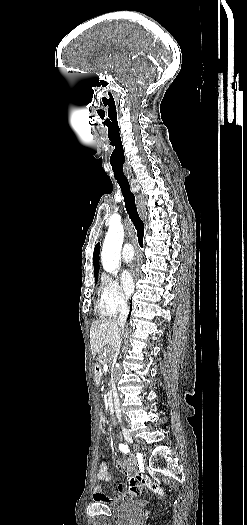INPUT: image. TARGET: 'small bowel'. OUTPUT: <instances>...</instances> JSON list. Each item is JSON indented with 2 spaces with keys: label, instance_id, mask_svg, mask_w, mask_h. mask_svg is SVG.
<instances>
[{
  "label": "small bowel",
  "instance_id": "1",
  "mask_svg": "<svg viewBox=\"0 0 247 525\" xmlns=\"http://www.w3.org/2000/svg\"><path fill=\"white\" fill-rule=\"evenodd\" d=\"M105 428H103L104 430ZM115 466H119V463H115ZM120 473L122 475H126L128 473V470L126 468H122L120 470ZM112 479V474L109 469V464L107 461L103 460L99 464L98 472L96 474V482L97 487L95 489V495L94 498L96 501H99L101 504H105L107 506H115L118 503V499H124L126 498V495L123 494L127 490L129 491V494L131 497L136 498L139 496L140 491L139 487L141 485V480L147 481L149 479V476L147 474H144L143 476L141 474H130L128 476V480L123 479L119 482V485L117 487L118 492H120L117 495H107L101 486L104 482H109ZM129 485V486H128ZM148 486H151V483H148ZM154 490H157V487H154ZM157 494H160V491H157ZM158 500H161V497H158ZM164 500H167V497H164ZM160 505H163V502H160Z\"/></svg>",
  "mask_w": 247,
  "mask_h": 525
}]
</instances>
